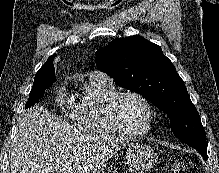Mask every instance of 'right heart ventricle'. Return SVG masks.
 I'll list each match as a JSON object with an SVG mask.
<instances>
[{
    "label": "right heart ventricle",
    "instance_id": "1",
    "mask_svg": "<svg viewBox=\"0 0 219 173\" xmlns=\"http://www.w3.org/2000/svg\"><path fill=\"white\" fill-rule=\"evenodd\" d=\"M117 92L111 80L90 78L82 98L70 107L73 119L90 131L118 135L119 132L109 121L106 110L108 101Z\"/></svg>",
    "mask_w": 219,
    "mask_h": 173
}]
</instances>
